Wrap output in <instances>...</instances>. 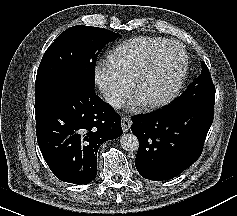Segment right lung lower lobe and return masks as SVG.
Instances as JSON below:
<instances>
[{
    "label": "right lung lower lobe",
    "instance_id": "1",
    "mask_svg": "<svg viewBox=\"0 0 237 216\" xmlns=\"http://www.w3.org/2000/svg\"><path fill=\"white\" fill-rule=\"evenodd\" d=\"M41 153L54 175L88 184L97 174L99 146L122 134L121 118L94 88L72 84L35 106Z\"/></svg>",
    "mask_w": 237,
    "mask_h": 216
}]
</instances>
